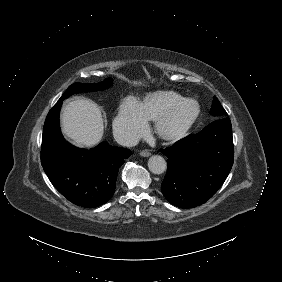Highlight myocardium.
Instances as JSON below:
<instances>
[{
	"label": "myocardium",
	"instance_id": "obj_1",
	"mask_svg": "<svg viewBox=\"0 0 282 282\" xmlns=\"http://www.w3.org/2000/svg\"><path fill=\"white\" fill-rule=\"evenodd\" d=\"M193 102L189 98H181L171 104L156 120V130L158 135L167 141H175L182 138L190 128L198 121L199 111L176 125H171L172 117L187 103Z\"/></svg>",
	"mask_w": 282,
	"mask_h": 282
}]
</instances>
